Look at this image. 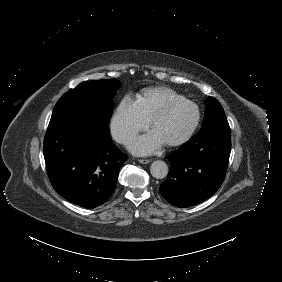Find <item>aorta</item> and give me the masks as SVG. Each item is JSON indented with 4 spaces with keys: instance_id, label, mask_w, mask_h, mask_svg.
Listing matches in <instances>:
<instances>
[{
    "instance_id": "aorta-1",
    "label": "aorta",
    "mask_w": 282,
    "mask_h": 282,
    "mask_svg": "<svg viewBox=\"0 0 282 282\" xmlns=\"http://www.w3.org/2000/svg\"><path fill=\"white\" fill-rule=\"evenodd\" d=\"M151 175L156 179H163L168 174V166L164 161L157 160L151 164Z\"/></svg>"
}]
</instances>
